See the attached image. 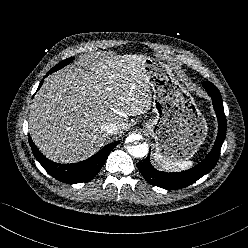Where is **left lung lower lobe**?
Instances as JSON below:
<instances>
[{
	"label": "left lung lower lobe",
	"instance_id": "obj_1",
	"mask_svg": "<svg viewBox=\"0 0 248 248\" xmlns=\"http://www.w3.org/2000/svg\"><path fill=\"white\" fill-rule=\"evenodd\" d=\"M202 85L211 96L213 107L218 117V136L212 150L200 164L190 170L178 173L157 171L152 167L150 156L148 155L143 162L137 163V167L145 180L150 184L165 189L184 188L207 174L217 163L226 135V116L224 114L222 98L217 87L210 82H203Z\"/></svg>",
	"mask_w": 248,
	"mask_h": 248
}]
</instances>
